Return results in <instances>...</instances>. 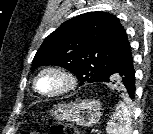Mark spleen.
Masks as SVG:
<instances>
[{"mask_svg": "<svg viewBox=\"0 0 153 134\" xmlns=\"http://www.w3.org/2000/svg\"><path fill=\"white\" fill-rule=\"evenodd\" d=\"M131 112L123 102H119L107 123V134H131Z\"/></svg>", "mask_w": 153, "mask_h": 134, "instance_id": "obj_1", "label": "spleen"}]
</instances>
